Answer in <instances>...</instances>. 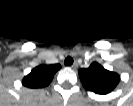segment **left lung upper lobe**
<instances>
[{
  "label": "left lung upper lobe",
  "instance_id": "obj_1",
  "mask_svg": "<svg viewBox=\"0 0 133 106\" xmlns=\"http://www.w3.org/2000/svg\"><path fill=\"white\" fill-rule=\"evenodd\" d=\"M78 73L84 88L100 95L111 92L120 81L117 73L104 69L97 62L87 69H80Z\"/></svg>",
  "mask_w": 133,
  "mask_h": 106
}]
</instances>
